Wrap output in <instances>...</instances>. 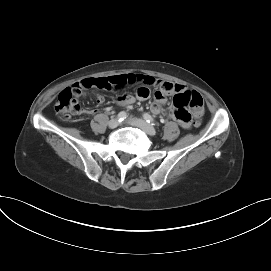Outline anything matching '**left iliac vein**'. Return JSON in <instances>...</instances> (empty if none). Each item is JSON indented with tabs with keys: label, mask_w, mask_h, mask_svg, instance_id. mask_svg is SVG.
I'll return each instance as SVG.
<instances>
[{
	"label": "left iliac vein",
	"mask_w": 271,
	"mask_h": 271,
	"mask_svg": "<svg viewBox=\"0 0 271 271\" xmlns=\"http://www.w3.org/2000/svg\"><path fill=\"white\" fill-rule=\"evenodd\" d=\"M128 123L130 125L139 127L143 131H145L147 134L154 136L156 134V130L153 126L148 124L145 120L142 119H137V118H132L128 120Z\"/></svg>",
	"instance_id": "obj_1"
}]
</instances>
